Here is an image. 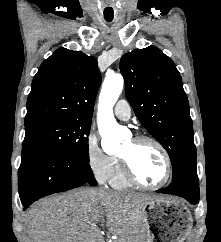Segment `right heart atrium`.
<instances>
[{
  "label": "right heart atrium",
  "instance_id": "right-heart-atrium-1",
  "mask_svg": "<svg viewBox=\"0 0 221 242\" xmlns=\"http://www.w3.org/2000/svg\"><path fill=\"white\" fill-rule=\"evenodd\" d=\"M85 149L86 161L91 173L101 183L108 181L114 166V156L103 151L94 132L88 134Z\"/></svg>",
  "mask_w": 221,
  "mask_h": 242
}]
</instances>
